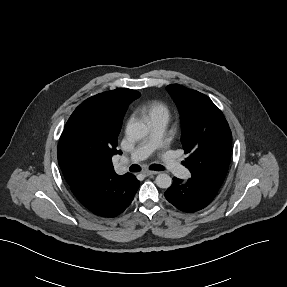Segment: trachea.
<instances>
[{"mask_svg":"<svg viewBox=\"0 0 287 287\" xmlns=\"http://www.w3.org/2000/svg\"><path fill=\"white\" fill-rule=\"evenodd\" d=\"M129 170L131 172H139L141 170V167L137 164H133L129 167ZM150 170L162 171V170H164V167L162 165H159V164H152L150 166Z\"/></svg>","mask_w":287,"mask_h":287,"instance_id":"1","label":"trachea"}]
</instances>
